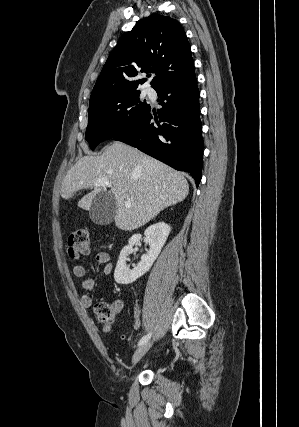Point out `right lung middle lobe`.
Listing matches in <instances>:
<instances>
[{"label": "right lung middle lobe", "instance_id": "dd1d6c3e", "mask_svg": "<svg viewBox=\"0 0 299 427\" xmlns=\"http://www.w3.org/2000/svg\"><path fill=\"white\" fill-rule=\"evenodd\" d=\"M139 96L140 91L128 92L89 104L85 138L92 150L124 133L145 115L150 106Z\"/></svg>", "mask_w": 299, "mask_h": 427}]
</instances>
